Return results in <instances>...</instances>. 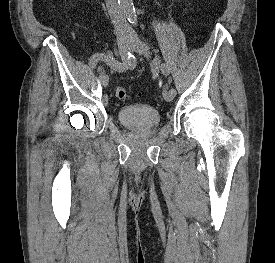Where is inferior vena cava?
<instances>
[{"label": "inferior vena cava", "instance_id": "1", "mask_svg": "<svg viewBox=\"0 0 275 263\" xmlns=\"http://www.w3.org/2000/svg\"><path fill=\"white\" fill-rule=\"evenodd\" d=\"M108 13L111 17L117 34L128 33L132 31V28L126 21V16L123 13L119 0H105Z\"/></svg>", "mask_w": 275, "mask_h": 263}]
</instances>
